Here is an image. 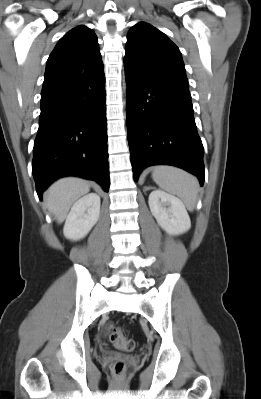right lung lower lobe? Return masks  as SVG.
I'll list each match as a JSON object with an SVG mask.
<instances>
[{
    "instance_id": "right-lung-lower-lobe-1",
    "label": "right lung lower lobe",
    "mask_w": 261,
    "mask_h": 399,
    "mask_svg": "<svg viewBox=\"0 0 261 399\" xmlns=\"http://www.w3.org/2000/svg\"><path fill=\"white\" fill-rule=\"evenodd\" d=\"M104 84L103 74L41 97L32 161L41 200L53 181L68 175L95 180L109 190Z\"/></svg>"
}]
</instances>
